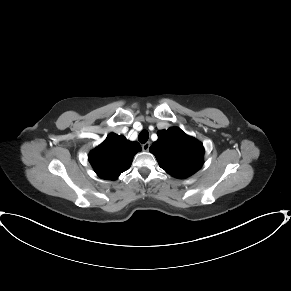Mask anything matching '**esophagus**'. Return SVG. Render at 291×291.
Returning <instances> with one entry per match:
<instances>
[{
	"mask_svg": "<svg viewBox=\"0 0 291 291\" xmlns=\"http://www.w3.org/2000/svg\"><path fill=\"white\" fill-rule=\"evenodd\" d=\"M150 148V142H146L145 144L142 145V149L145 152H148Z\"/></svg>",
	"mask_w": 291,
	"mask_h": 291,
	"instance_id": "esophagus-1",
	"label": "esophagus"
}]
</instances>
